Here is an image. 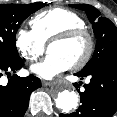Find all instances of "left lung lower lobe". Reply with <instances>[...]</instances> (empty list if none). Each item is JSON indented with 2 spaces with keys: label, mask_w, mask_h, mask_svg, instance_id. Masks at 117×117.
Segmentation results:
<instances>
[{
  "label": "left lung lower lobe",
  "mask_w": 117,
  "mask_h": 117,
  "mask_svg": "<svg viewBox=\"0 0 117 117\" xmlns=\"http://www.w3.org/2000/svg\"><path fill=\"white\" fill-rule=\"evenodd\" d=\"M75 75L81 80L91 77L90 83L84 85V92H80L81 106L76 112L60 117H112L117 111V56L86 74Z\"/></svg>",
  "instance_id": "1"
}]
</instances>
